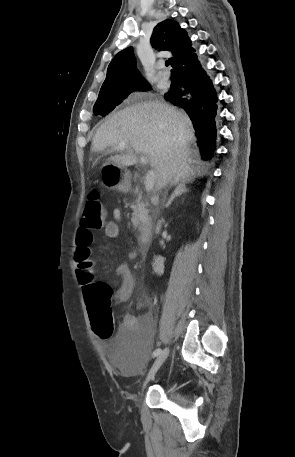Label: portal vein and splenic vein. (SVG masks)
Wrapping results in <instances>:
<instances>
[{"mask_svg":"<svg viewBox=\"0 0 295 457\" xmlns=\"http://www.w3.org/2000/svg\"><path fill=\"white\" fill-rule=\"evenodd\" d=\"M128 143H125V142H121L117 145V148L118 149H125V148H128ZM141 162L143 164H147L148 163V159L147 157L145 156H142L141 157ZM155 179H156V174H155V171L153 169H150L147 174H146V177H145V181H144V184H145V189L147 191H151L154 187V183H155Z\"/></svg>","mask_w":295,"mask_h":457,"instance_id":"18ae733b","label":"portal vein and splenic vein"}]
</instances>
